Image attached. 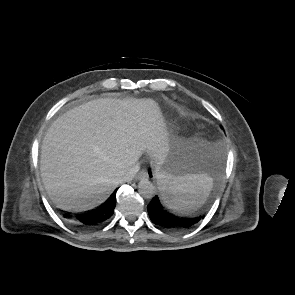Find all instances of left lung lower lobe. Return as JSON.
I'll return each instance as SVG.
<instances>
[{"label":"left lung lower lobe","mask_w":295,"mask_h":295,"mask_svg":"<svg viewBox=\"0 0 295 295\" xmlns=\"http://www.w3.org/2000/svg\"><path fill=\"white\" fill-rule=\"evenodd\" d=\"M206 160L209 168L214 167L215 165V156L214 153L210 150L206 153ZM148 213L151 221L170 231H183L191 228L196 224L201 217L197 218H187L176 216L172 213H169L161 204L158 196H155L152 201L149 203Z\"/></svg>","instance_id":"0a47b994"}]
</instances>
